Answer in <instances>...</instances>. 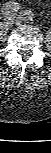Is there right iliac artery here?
Listing matches in <instances>:
<instances>
[{"mask_svg":"<svg viewBox=\"0 0 51 153\" xmlns=\"http://www.w3.org/2000/svg\"><path fill=\"white\" fill-rule=\"evenodd\" d=\"M20 9V4L17 2H7L1 8L3 15H10L12 12H16Z\"/></svg>","mask_w":51,"mask_h":153,"instance_id":"82829eb1","label":"right iliac artery"}]
</instances>
